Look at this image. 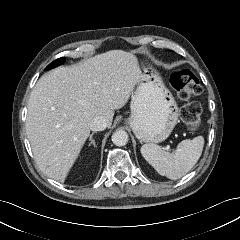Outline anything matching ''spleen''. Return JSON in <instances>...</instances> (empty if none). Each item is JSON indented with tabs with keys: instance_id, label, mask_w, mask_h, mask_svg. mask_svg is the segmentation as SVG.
I'll use <instances>...</instances> for the list:
<instances>
[{
	"instance_id": "spleen-1",
	"label": "spleen",
	"mask_w": 240,
	"mask_h": 240,
	"mask_svg": "<svg viewBox=\"0 0 240 240\" xmlns=\"http://www.w3.org/2000/svg\"><path fill=\"white\" fill-rule=\"evenodd\" d=\"M204 147V138L197 136L192 140L181 141L174 153L163 151L156 144H144L141 154L145 160L162 176L177 180L186 175L199 160Z\"/></svg>"
}]
</instances>
